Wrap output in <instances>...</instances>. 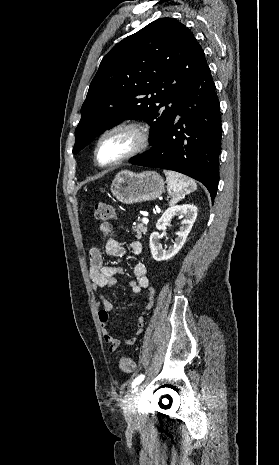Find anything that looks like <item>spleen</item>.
Instances as JSON below:
<instances>
[{
	"instance_id": "obj_1",
	"label": "spleen",
	"mask_w": 279,
	"mask_h": 465,
	"mask_svg": "<svg viewBox=\"0 0 279 465\" xmlns=\"http://www.w3.org/2000/svg\"><path fill=\"white\" fill-rule=\"evenodd\" d=\"M165 175L167 181V190L172 196V200L170 201L171 205H174L179 200L184 198L186 194H189L197 189V185L194 180L179 173L165 171Z\"/></svg>"
}]
</instances>
